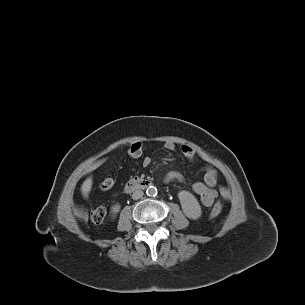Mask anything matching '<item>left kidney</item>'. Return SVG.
<instances>
[{
  "instance_id": "1",
  "label": "left kidney",
  "mask_w": 305,
  "mask_h": 305,
  "mask_svg": "<svg viewBox=\"0 0 305 305\" xmlns=\"http://www.w3.org/2000/svg\"><path fill=\"white\" fill-rule=\"evenodd\" d=\"M178 198L182 207V211L189 219L196 220L201 217V206L196 197L189 191H180Z\"/></svg>"
}]
</instances>
